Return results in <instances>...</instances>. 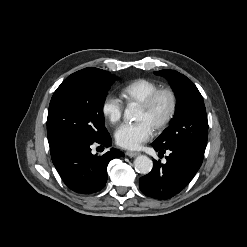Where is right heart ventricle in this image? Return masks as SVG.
Masks as SVG:
<instances>
[{"instance_id":"right-heart-ventricle-1","label":"right heart ventricle","mask_w":247,"mask_h":247,"mask_svg":"<svg viewBox=\"0 0 247 247\" xmlns=\"http://www.w3.org/2000/svg\"><path fill=\"white\" fill-rule=\"evenodd\" d=\"M158 88V83L150 79L138 78L129 82L122 88L121 96L128 104L139 105Z\"/></svg>"}]
</instances>
